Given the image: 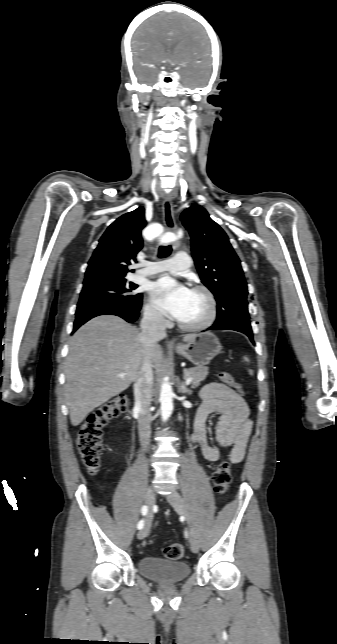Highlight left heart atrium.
Listing matches in <instances>:
<instances>
[{"label":"left heart atrium","instance_id":"left-heart-atrium-1","mask_svg":"<svg viewBox=\"0 0 337 644\" xmlns=\"http://www.w3.org/2000/svg\"><path fill=\"white\" fill-rule=\"evenodd\" d=\"M155 305L166 315L178 319L191 290L170 277H162L151 286Z\"/></svg>","mask_w":337,"mask_h":644}]
</instances>
